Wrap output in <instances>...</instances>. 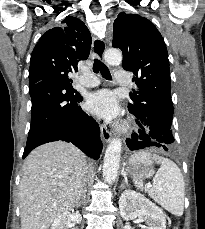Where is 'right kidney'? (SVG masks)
I'll return each instance as SVG.
<instances>
[{
  "mask_svg": "<svg viewBox=\"0 0 205 229\" xmlns=\"http://www.w3.org/2000/svg\"><path fill=\"white\" fill-rule=\"evenodd\" d=\"M72 219L70 212H64L53 221L51 229H67L71 225Z\"/></svg>",
  "mask_w": 205,
  "mask_h": 229,
  "instance_id": "1",
  "label": "right kidney"
}]
</instances>
